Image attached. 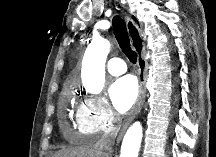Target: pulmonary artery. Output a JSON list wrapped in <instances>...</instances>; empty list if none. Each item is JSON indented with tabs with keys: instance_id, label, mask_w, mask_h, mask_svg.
Here are the masks:
<instances>
[{
	"instance_id": "pulmonary-artery-1",
	"label": "pulmonary artery",
	"mask_w": 216,
	"mask_h": 157,
	"mask_svg": "<svg viewBox=\"0 0 216 157\" xmlns=\"http://www.w3.org/2000/svg\"><path fill=\"white\" fill-rule=\"evenodd\" d=\"M108 72L112 75H121L126 72V65L119 57H113L106 64Z\"/></svg>"
}]
</instances>
